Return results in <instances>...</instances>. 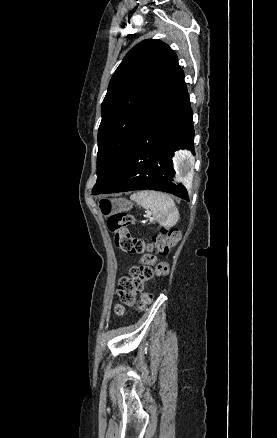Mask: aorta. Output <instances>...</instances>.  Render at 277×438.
I'll return each instance as SVG.
<instances>
[{"label": "aorta", "instance_id": "1", "mask_svg": "<svg viewBox=\"0 0 277 438\" xmlns=\"http://www.w3.org/2000/svg\"><path fill=\"white\" fill-rule=\"evenodd\" d=\"M194 163V157L189 151L179 152L175 158V170L177 180L187 182L192 177Z\"/></svg>", "mask_w": 277, "mask_h": 438}]
</instances>
